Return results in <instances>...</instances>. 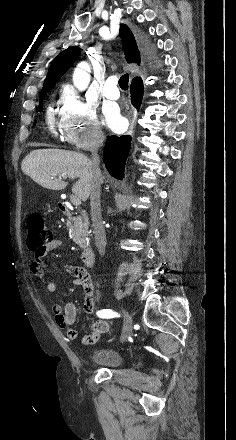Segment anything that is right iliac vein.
Segmentation results:
<instances>
[{
	"label": "right iliac vein",
	"instance_id": "63e3f726",
	"mask_svg": "<svg viewBox=\"0 0 236 440\" xmlns=\"http://www.w3.org/2000/svg\"><path fill=\"white\" fill-rule=\"evenodd\" d=\"M123 313H124V325H123V332L121 337L122 342L126 341V339L128 338L131 332V315L125 309H123Z\"/></svg>",
	"mask_w": 236,
	"mask_h": 440
}]
</instances>
